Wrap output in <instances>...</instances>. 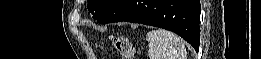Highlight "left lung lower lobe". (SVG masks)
<instances>
[{
    "label": "left lung lower lobe",
    "mask_w": 261,
    "mask_h": 59,
    "mask_svg": "<svg viewBox=\"0 0 261 59\" xmlns=\"http://www.w3.org/2000/svg\"><path fill=\"white\" fill-rule=\"evenodd\" d=\"M200 8L199 0H119L98 22L128 21L164 28L198 51Z\"/></svg>",
    "instance_id": "0a47b994"
}]
</instances>
